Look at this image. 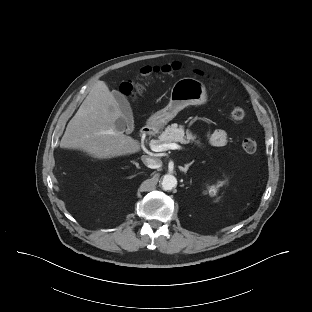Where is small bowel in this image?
Wrapping results in <instances>:
<instances>
[{
    "instance_id": "c3829d8e",
    "label": "small bowel",
    "mask_w": 312,
    "mask_h": 312,
    "mask_svg": "<svg viewBox=\"0 0 312 312\" xmlns=\"http://www.w3.org/2000/svg\"><path fill=\"white\" fill-rule=\"evenodd\" d=\"M207 139L214 146H223L228 141V133L225 130H215L207 134Z\"/></svg>"
}]
</instances>
